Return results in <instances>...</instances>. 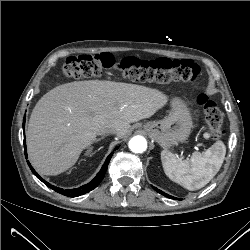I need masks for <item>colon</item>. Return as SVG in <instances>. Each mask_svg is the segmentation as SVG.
I'll list each match as a JSON object with an SVG mask.
<instances>
[{
    "mask_svg": "<svg viewBox=\"0 0 250 250\" xmlns=\"http://www.w3.org/2000/svg\"><path fill=\"white\" fill-rule=\"evenodd\" d=\"M111 71L119 72L134 81L160 84L178 81L194 83L201 74L200 67L189 60L169 58L141 60L135 57L116 59L109 53L70 56L62 66L63 75L71 79L99 77ZM197 102L203 109L211 135L216 139L221 138L224 132L223 115L220 109L205 94H200Z\"/></svg>",
    "mask_w": 250,
    "mask_h": 250,
    "instance_id": "obj_1",
    "label": "colon"
}]
</instances>
